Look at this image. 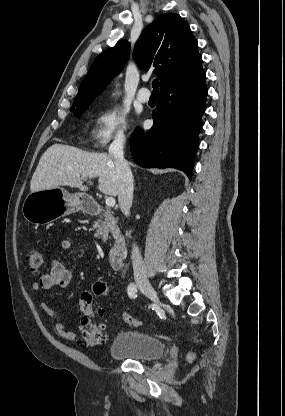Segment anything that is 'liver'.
<instances>
[{
    "label": "liver",
    "instance_id": "liver-1",
    "mask_svg": "<svg viewBox=\"0 0 285 416\" xmlns=\"http://www.w3.org/2000/svg\"><path fill=\"white\" fill-rule=\"evenodd\" d=\"M98 178L99 190L107 196H118L121 186V176L117 172L112 156L108 154H93L84 152L73 146L53 144L42 158L30 182L31 192L50 190L57 186L79 188L87 192L82 178Z\"/></svg>",
    "mask_w": 285,
    "mask_h": 416
}]
</instances>
